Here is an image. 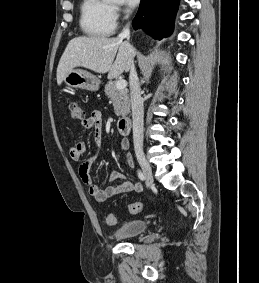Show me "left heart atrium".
Instances as JSON below:
<instances>
[{
    "mask_svg": "<svg viewBox=\"0 0 259 283\" xmlns=\"http://www.w3.org/2000/svg\"><path fill=\"white\" fill-rule=\"evenodd\" d=\"M140 0H126V3L129 7H135L138 5Z\"/></svg>",
    "mask_w": 259,
    "mask_h": 283,
    "instance_id": "39dd6f15",
    "label": "left heart atrium"
}]
</instances>
